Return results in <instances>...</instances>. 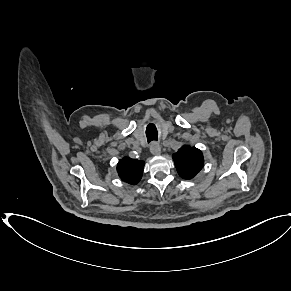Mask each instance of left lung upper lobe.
I'll use <instances>...</instances> for the list:
<instances>
[{
  "label": "left lung upper lobe",
  "instance_id": "obj_1",
  "mask_svg": "<svg viewBox=\"0 0 291 291\" xmlns=\"http://www.w3.org/2000/svg\"><path fill=\"white\" fill-rule=\"evenodd\" d=\"M173 159L178 174L184 179H192L204 163L202 152L196 147L186 145L173 154Z\"/></svg>",
  "mask_w": 291,
  "mask_h": 291
}]
</instances>
